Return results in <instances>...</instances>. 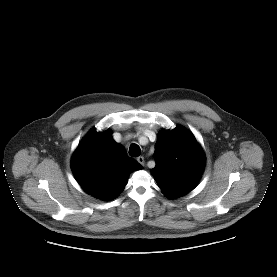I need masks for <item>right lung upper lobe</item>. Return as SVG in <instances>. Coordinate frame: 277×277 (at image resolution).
Returning a JSON list of instances; mask_svg holds the SVG:
<instances>
[{"instance_id": "right-lung-upper-lobe-1", "label": "right lung upper lobe", "mask_w": 277, "mask_h": 277, "mask_svg": "<svg viewBox=\"0 0 277 277\" xmlns=\"http://www.w3.org/2000/svg\"><path fill=\"white\" fill-rule=\"evenodd\" d=\"M71 168L87 193L108 201L122 192L129 173L142 166L113 140L110 131L92 129L74 152Z\"/></svg>"}]
</instances>
